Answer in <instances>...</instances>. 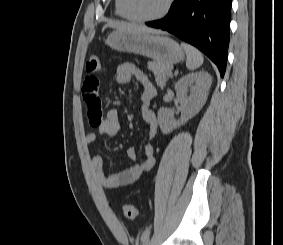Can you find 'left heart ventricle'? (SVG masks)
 I'll use <instances>...</instances> for the list:
<instances>
[{
  "label": "left heart ventricle",
  "instance_id": "b2bd125f",
  "mask_svg": "<svg viewBox=\"0 0 283 245\" xmlns=\"http://www.w3.org/2000/svg\"><path fill=\"white\" fill-rule=\"evenodd\" d=\"M167 0H129L132 13L140 17H151L158 14Z\"/></svg>",
  "mask_w": 283,
  "mask_h": 245
}]
</instances>
